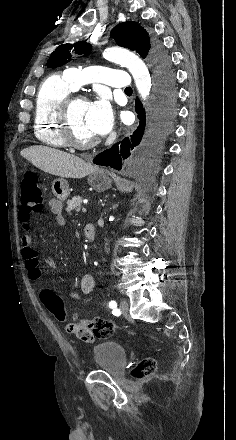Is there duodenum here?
Instances as JSON below:
<instances>
[{
  "mask_svg": "<svg viewBox=\"0 0 236 440\" xmlns=\"http://www.w3.org/2000/svg\"><path fill=\"white\" fill-rule=\"evenodd\" d=\"M84 235L88 241H93L95 238V227L92 224H87L84 227Z\"/></svg>",
  "mask_w": 236,
  "mask_h": 440,
  "instance_id": "1",
  "label": "duodenum"
}]
</instances>
